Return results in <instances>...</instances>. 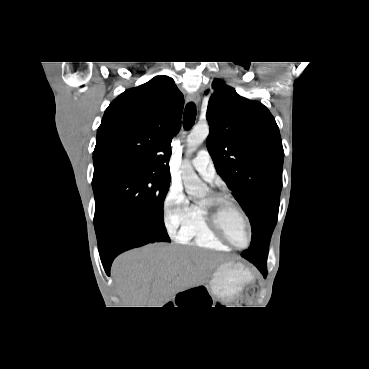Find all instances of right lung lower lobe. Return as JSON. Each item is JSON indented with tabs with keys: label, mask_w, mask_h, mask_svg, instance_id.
<instances>
[{
	"label": "right lung lower lobe",
	"mask_w": 369,
	"mask_h": 369,
	"mask_svg": "<svg viewBox=\"0 0 369 369\" xmlns=\"http://www.w3.org/2000/svg\"><path fill=\"white\" fill-rule=\"evenodd\" d=\"M100 258L106 273L110 274L113 259L120 253L157 242L136 223L119 220L107 227L101 236L97 237Z\"/></svg>",
	"instance_id": "1"
}]
</instances>
